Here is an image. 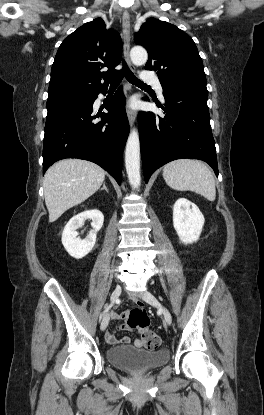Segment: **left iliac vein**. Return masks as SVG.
<instances>
[{
    "label": "left iliac vein",
    "instance_id": "obj_1",
    "mask_svg": "<svg viewBox=\"0 0 264 415\" xmlns=\"http://www.w3.org/2000/svg\"><path fill=\"white\" fill-rule=\"evenodd\" d=\"M142 298L147 303L159 307L163 313L165 322L168 325L172 324V315L170 311L151 292L145 291Z\"/></svg>",
    "mask_w": 264,
    "mask_h": 415
}]
</instances>
